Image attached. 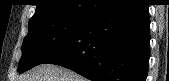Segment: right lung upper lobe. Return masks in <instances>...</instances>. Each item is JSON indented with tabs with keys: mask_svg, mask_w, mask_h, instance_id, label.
<instances>
[{
	"mask_svg": "<svg viewBox=\"0 0 169 81\" xmlns=\"http://www.w3.org/2000/svg\"><path fill=\"white\" fill-rule=\"evenodd\" d=\"M35 14L29 22L50 16L91 17L116 0H37Z\"/></svg>",
	"mask_w": 169,
	"mask_h": 81,
	"instance_id": "cb5924a9",
	"label": "right lung upper lobe"
}]
</instances>
